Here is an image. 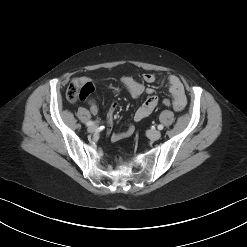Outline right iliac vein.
Segmentation results:
<instances>
[{
    "label": "right iliac vein",
    "instance_id": "63e3f726",
    "mask_svg": "<svg viewBox=\"0 0 247 247\" xmlns=\"http://www.w3.org/2000/svg\"><path fill=\"white\" fill-rule=\"evenodd\" d=\"M98 130V127L96 125H92L90 127H88V132L90 133H94Z\"/></svg>",
    "mask_w": 247,
    "mask_h": 247
}]
</instances>
